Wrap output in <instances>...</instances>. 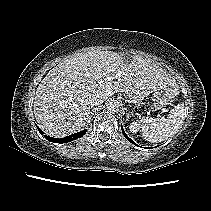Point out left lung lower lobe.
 <instances>
[{"instance_id":"obj_1","label":"left lung lower lobe","mask_w":211,"mask_h":211,"mask_svg":"<svg viewBox=\"0 0 211 211\" xmlns=\"http://www.w3.org/2000/svg\"><path fill=\"white\" fill-rule=\"evenodd\" d=\"M121 128H122V133L124 134L125 138H126L129 142H131V143H133L134 145H136V144L126 135V133L124 132L122 126H121Z\"/></svg>"}]
</instances>
